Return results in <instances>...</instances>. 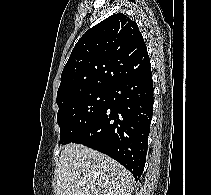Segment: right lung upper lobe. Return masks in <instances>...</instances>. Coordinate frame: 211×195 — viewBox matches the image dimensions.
<instances>
[{
  "label": "right lung upper lobe",
  "mask_w": 211,
  "mask_h": 195,
  "mask_svg": "<svg viewBox=\"0 0 211 195\" xmlns=\"http://www.w3.org/2000/svg\"><path fill=\"white\" fill-rule=\"evenodd\" d=\"M150 68L136 22L124 14H114L87 30L76 43L61 74L57 104L85 91L110 89Z\"/></svg>",
  "instance_id": "1"
}]
</instances>
